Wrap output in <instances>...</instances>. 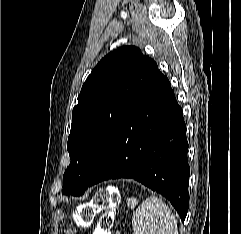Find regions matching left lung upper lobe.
Wrapping results in <instances>:
<instances>
[{"mask_svg":"<svg viewBox=\"0 0 241 234\" xmlns=\"http://www.w3.org/2000/svg\"><path fill=\"white\" fill-rule=\"evenodd\" d=\"M158 70L133 46L106 55L86 79L73 108L63 175L66 195L81 196L100 167L126 116Z\"/></svg>","mask_w":241,"mask_h":234,"instance_id":"5c2ea615","label":"left lung upper lobe"}]
</instances>
